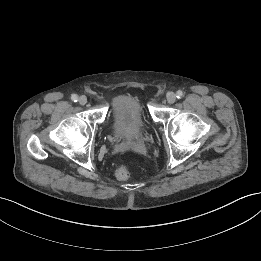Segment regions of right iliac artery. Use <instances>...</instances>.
Masks as SVG:
<instances>
[{"mask_svg": "<svg viewBox=\"0 0 261 261\" xmlns=\"http://www.w3.org/2000/svg\"><path fill=\"white\" fill-rule=\"evenodd\" d=\"M71 99H72V101L77 102L78 101V96L76 94H73L71 96Z\"/></svg>", "mask_w": 261, "mask_h": 261, "instance_id": "obj_1", "label": "right iliac artery"}]
</instances>
